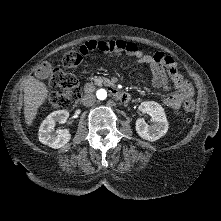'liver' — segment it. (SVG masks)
Instances as JSON below:
<instances>
[{
    "mask_svg": "<svg viewBox=\"0 0 221 221\" xmlns=\"http://www.w3.org/2000/svg\"><path fill=\"white\" fill-rule=\"evenodd\" d=\"M48 88L32 76H29L24 87V116L28 126H31L38 108L46 101Z\"/></svg>",
    "mask_w": 221,
    "mask_h": 221,
    "instance_id": "liver-1",
    "label": "liver"
}]
</instances>
